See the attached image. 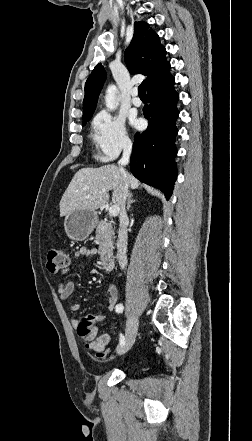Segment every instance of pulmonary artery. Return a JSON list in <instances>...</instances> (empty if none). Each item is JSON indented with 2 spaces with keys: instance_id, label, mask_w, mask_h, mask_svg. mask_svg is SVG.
I'll list each match as a JSON object with an SVG mask.
<instances>
[{
  "instance_id": "pulmonary-artery-1",
  "label": "pulmonary artery",
  "mask_w": 252,
  "mask_h": 441,
  "mask_svg": "<svg viewBox=\"0 0 252 441\" xmlns=\"http://www.w3.org/2000/svg\"><path fill=\"white\" fill-rule=\"evenodd\" d=\"M131 102H132V104H133L134 106H137V107H139V106L141 105V100H140V98L138 97V94H137V90H136V89H134V90L132 91V99H131Z\"/></svg>"
}]
</instances>
